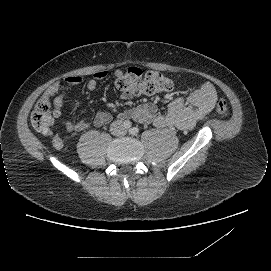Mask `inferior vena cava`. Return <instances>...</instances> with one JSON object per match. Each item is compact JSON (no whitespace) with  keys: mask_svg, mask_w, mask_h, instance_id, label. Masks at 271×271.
<instances>
[{"mask_svg":"<svg viewBox=\"0 0 271 271\" xmlns=\"http://www.w3.org/2000/svg\"><path fill=\"white\" fill-rule=\"evenodd\" d=\"M111 133L116 137H121L126 132L125 125L120 121H115L110 126Z\"/></svg>","mask_w":271,"mask_h":271,"instance_id":"1","label":"inferior vena cava"}]
</instances>
